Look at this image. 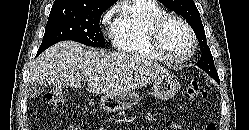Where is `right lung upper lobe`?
<instances>
[{
	"label": "right lung upper lobe",
	"instance_id": "1",
	"mask_svg": "<svg viewBox=\"0 0 249 130\" xmlns=\"http://www.w3.org/2000/svg\"><path fill=\"white\" fill-rule=\"evenodd\" d=\"M116 0H55L53 5H72L78 7L98 8V7H110Z\"/></svg>",
	"mask_w": 249,
	"mask_h": 130
}]
</instances>
